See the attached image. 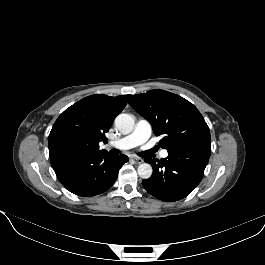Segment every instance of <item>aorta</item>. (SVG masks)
Here are the masks:
<instances>
[{"mask_svg": "<svg viewBox=\"0 0 265 265\" xmlns=\"http://www.w3.org/2000/svg\"><path fill=\"white\" fill-rule=\"evenodd\" d=\"M134 126L135 120L129 114L121 113L115 119L116 129L124 135L131 133L134 130ZM137 172L141 178L148 179L151 177L153 169L150 164L142 163L138 166Z\"/></svg>", "mask_w": 265, "mask_h": 265, "instance_id": "762f6f07", "label": "aorta"}]
</instances>
